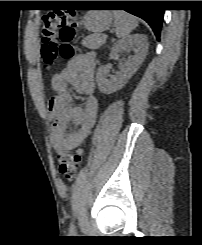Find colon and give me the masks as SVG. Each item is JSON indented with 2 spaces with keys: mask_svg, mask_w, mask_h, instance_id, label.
<instances>
[{
  "mask_svg": "<svg viewBox=\"0 0 202 245\" xmlns=\"http://www.w3.org/2000/svg\"><path fill=\"white\" fill-rule=\"evenodd\" d=\"M78 22L69 12L50 13L43 17L41 59L47 67L61 56L70 60L74 56L72 42ZM83 149L75 148L59 155V172L67 180L76 177L82 162Z\"/></svg>",
  "mask_w": 202,
  "mask_h": 245,
  "instance_id": "1",
  "label": "colon"
}]
</instances>
